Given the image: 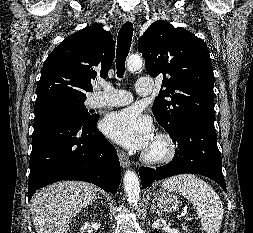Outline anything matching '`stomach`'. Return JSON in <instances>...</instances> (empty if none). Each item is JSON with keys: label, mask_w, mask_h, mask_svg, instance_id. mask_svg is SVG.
Returning <instances> with one entry per match:
<instances>
[{"label": "stomach", "mask_w": 253, "mask_h": 233, "mask_svg": "<svg viewBox=\"0 0 253 233\" xmlns=\"http://www.w3.org/2000/svg\"><path fill=\"white\" fill-rule=\"evenodd\" d=\"M154 201L161 212L171 213L178 210L181 205L179 198L166 191H157L154 194Z\"/></svg>", "instance_id": "1"}]
</instances>
